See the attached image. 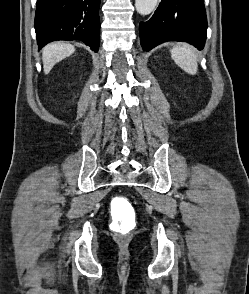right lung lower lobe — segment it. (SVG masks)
<instances>
[{
  "instance_id": "obj_1",
  "label": "right lung lower lobe",
  "mask_w": 249,
  "mask_h": 294,
  "mask_svg": "<svg viewBox=\"0 0 249 294\" xmlns=\"http://www.w3.org/2000/svg\"><path fill=\"white\" fill-rule=\"evenodd\" d=\"M100 0H37L35 31L39 47L55 40H81L97 52Z\"/></svg>"
}]
</instances>
